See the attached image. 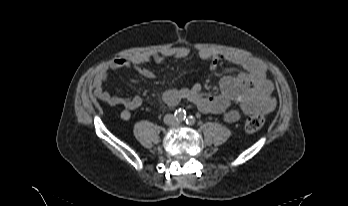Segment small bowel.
<instances>
[{
    "instance_id": "small-bowel-1",
    "label": "small bowel",
    "mask_w": 348,
    "mask_h": 206,
    "mask_svg": "<svg viewBox=\"0 0 348 206\" xmlns=\"http://www.w3.org/2000/svg\"><path fill=\"white\" fill-rule=\"evenodd\" d=\"M188 55V48L177 47L161 52H143L118 58L97 72L93 82L94 95L99 101L110 106H122L120 117L127 121L131 118V112L142 106L143 100L137 95L131 97L112 95L105 88L109 71L134 69L143 78L152 79L154 73L144 67V64L168 58L183 59ZM199 57L209 62L212 70L217 68L220 61L228 60L242 67L244 71L222 77L221 94L218 95H204L199 82L168 89L163 93L168 105L175 106L185 99L203 113L222 115L228 123H236L244 116L267 114L274 110L276 101L272 96L273 83L266 77V70L262 64L243 55L214 53L207 49L201 50Z\"/></svg>"
}]
</instances>
